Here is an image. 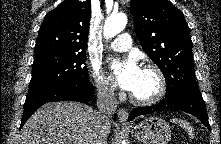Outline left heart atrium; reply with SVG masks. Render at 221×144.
<instances>
[{
  "label": "left heart atrium",
  "mask_w": 221,
  "mask_h": 144,
  "mask_svg": "<svg viewBox=\"0 0 221 144\" xmlns=\"http://www.w3.org/2000/svg\"><path fill=\"white\" fill-rule=\"evenodd\" d=\"M112 72L119 86L127 91L132 92L141 73V69L133 58L125 61H114L111 65Z\"/></svg>",
  "instance_id": "1"
}]
</instances>
